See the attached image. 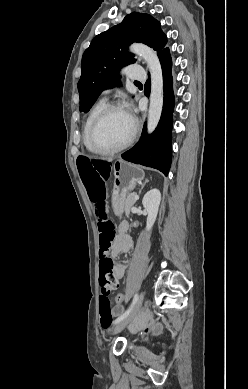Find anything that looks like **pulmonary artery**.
<instances>
[{
  "mask_svg": "<svg viewBox=\"0 0 248 389\" xmlns=\"http://www.w3.org/2000/svg\"><path fill=\"white\" fill-rule=\"evenodd\" d=\"M124 74L130 78L131 80H137L140 81L143 79V73L142 68L137 67L135 65H128L126 71ZM109 93V90H105L104 94L107 95Z\"/></svg>",
  "mask_w": 248,
  "mask_h": 389,
  "instance_id": "pulmonary-artery-1",
  "label": "pulmonary artery"
}]
</instances>
